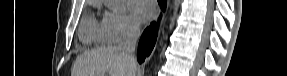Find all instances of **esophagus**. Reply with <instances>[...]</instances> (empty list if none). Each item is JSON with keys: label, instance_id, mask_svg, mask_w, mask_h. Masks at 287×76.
Masks as SVG:
<instances>
[{"label": "esophagus", "instance_id": "obj_1", "mask_svg": "<svg viewBox=\"0 0 287 76\" xmlns=\"http://www.w3.org/2000/svg\"><path fill=\"white\" fill-rule=\"evenodd\" d=\"M158 16H159V12H158V14H157L156 17H155V20L158 18Z\"/></svg>", "mask_w": 287, "mask_h": 76}]
</instances>
